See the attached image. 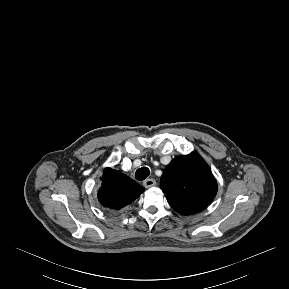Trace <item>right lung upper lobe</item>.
<instances>
[{"label":"right lung upper lobe","mask_w":289,"mask_h":289,"mask_svg":"<svg viewBox=\"0 0 289 289\" xmlns=\"http://www.w3.org/2000/svg\"><path fill=\"white\" fill-rule=\"evenodd\" d=\"M99 202L110 209H120L133 202L144 192V187L122 174L120 171L106 168L100 178Z\"/></svg>","instance_id":"right-lung-upper-lobe-1"}]
</instances>
